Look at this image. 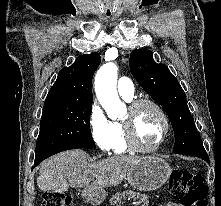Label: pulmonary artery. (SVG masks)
Segmentation results:
<instances>
[{
    "label": "pulmonary artery",
    "mask_w": 221,
    "mask_h": 206,
    "mask_svg": "<svg viewBox=\"0 0 221 206\" xmlns=\"http://www.w3.org/2000/svg\"><path fill=\"white\" fill-rule=\"evenodd\" d=\"M117 90L119 95L126 100H131L134 96L133 82L127 77H121L119 79Z\"/></svg>",
    "instance_id": "1"
}]
</instances>
